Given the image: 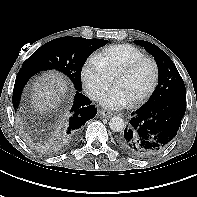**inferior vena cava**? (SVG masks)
I'll return each instance as SVG.
<instances>
[{
	"instance_id": "obj_1",
	"label": "inferior vena cava",
	"mask_w": 197,
	"mask_h": 197,
	"mask_svg": "<svg viewBox=\"0 0 197 197\" xmlns=\"http://www.w3.org/2000/svg\"><path fill=\"white\" fill-rule=\"evenodd\" d=\"M89 97L93 100L97 99L98 98V93L96 92H90L89 93Z\"/></svg>"
}]
</instances>
